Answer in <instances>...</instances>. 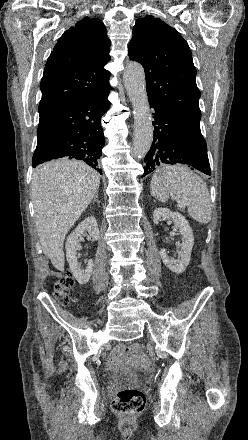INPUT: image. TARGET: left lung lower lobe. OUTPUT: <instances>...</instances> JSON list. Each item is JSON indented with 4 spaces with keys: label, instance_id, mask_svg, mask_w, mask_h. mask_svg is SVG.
I'll list each match as a JSON object with an SVG mask.
<instances>
[{
    "label": "left lung lower lobe",
    "instance_id": "left-lung-lower-lobe-1",
    "mask_svg": "<svg viewBox=\"0 0 248 440\" xmlns=\"http://www.w3.org/2000/svg\"><path fill=\"white\" fill-rule=\"evenodd\" d=\"M155 110L154 141L144 161L145 176L163 164H188L193 168L211 175L207 155V145L200 129L163 111L149 101Z\"/></svg>",
    "mask_w": 248,
    "mask_h": 440
}]
</instances>
